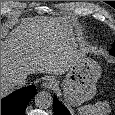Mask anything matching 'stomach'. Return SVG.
<instances>
[{"label": "stomach", "instance_id": "1", "mask_svg": "<svg viewBox=\"0 0 115 115\" xmlns=\"http://www.w3.org/2000/svg\"><path fill=\"white\" fill-rule=\"evenodd\" d=\"M101 76V67L90 57L83 55L66 74L62 89L66 102L77 106L91 100L96 94V83Z\"/></svg>", "mask_w": 115, "mask_h": 115}]
</instances>
